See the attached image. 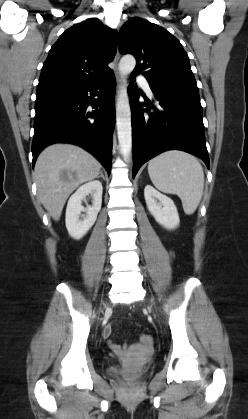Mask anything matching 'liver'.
I'll return each instance as SVG.
<instances>
[{
    "mask_svg": "<svg viewBox=\"0 0 248 419\" xmlns=\"http://www.w3.org/2000/svg\"><path fill=\"white\" fill-rule=\"evenodd\" d=\"M100 169L98 160L79 146H48L38 156L34 168L38 199L58 221L69 195L80 184L95 179Z\"/></svg>",
    "mask_w": 248,
    "mask_h": 419,
    "instance_id": "liver-1",
    "label": "liver"
}]
</instances>
